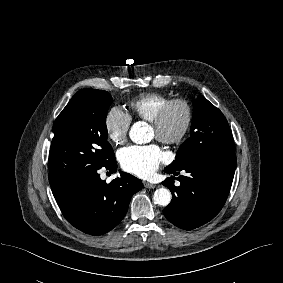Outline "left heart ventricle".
<instances>
[{"label": "left heart ventricle", "mask_w": 283, "mask_h": 283, "mask_svg": "<svg viewBox=\"0 0 283 283\" xmlns=\"http://www.w3.org/2000/svg\"><path fill=\"white\" fill-rule=\"evenodd\" d=\"M184 120V114L181 108L175 107L169 114L166 130L169 134L176 133L182 126ZM153 135L156 136V132L152 129Z\"/></svg>", "instance_id": "left-heart-ventricle-1"}]
</instances>
